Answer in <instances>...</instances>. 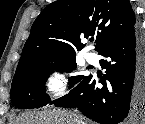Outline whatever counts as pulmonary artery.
Segmentation results:
<instances>
[{
    "instance_id": "pulmonary-artery-1",
    "label": "pulmonary artery",
    "mask_w": 145,
    "mask_h": 124,
    "mask_svg": "<svg viewBox=\"0 0 145 124\" xmlns=\"http://www.w3.org/2000/svg\"><path fill=\"white\" fill-rule=\"evenodd\" d=\"M85 58H86L87 62L90 63V64H94L98 60L96 54H94V53H87L85 55Z\"/></svg>"
}]
</instances>
